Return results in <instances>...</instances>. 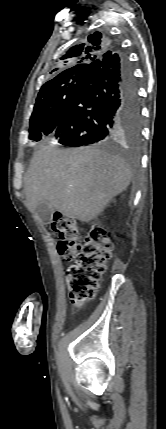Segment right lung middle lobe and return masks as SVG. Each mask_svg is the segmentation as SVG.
<instances>
[{
  "instance_id": "obj_1",
  "label": "right lung middle lobe",
  "mask_w": 166,
  "mask_h": 429,
  "mask_svg": "<svg viewBox=\"0 0 166 429\" xmlns=\"http://www.w3.org/2000/svg\"><path fill=\"white\" fill-rule=\"evenodd\" d=\"M84 75H76L59 81L42 93H39L30 118L29 139L40 141L51 135L59 125L63 114L76 88L83 81ZM123 131V132H122ZM140 126L121 129V135L132 145L139 143Z\"/></svg>"
}]
</instances>
